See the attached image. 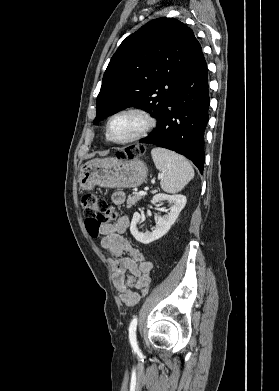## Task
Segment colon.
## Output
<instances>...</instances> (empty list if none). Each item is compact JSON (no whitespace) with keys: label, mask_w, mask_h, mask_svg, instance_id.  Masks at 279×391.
I'll return each instance as SVG.
<instances>
[{"label":"colon","mask_w":279,"mask_h":391,"mask_svg":"<svg viewBox=\"0 0 279 391\" xmlns=\"http://www.w3.org/2000/svg\"><path fill=\"white\" fill-rule=\"evenodd\" d=\"M143 151V147H135L130 150L122 151L119 156L121 159L126 160L132 156L142 154ZM81 206L89 234L94 238L98 237L103 220L111 215L107 202L93 194H85L81 199ZM148 292L149 285H146L140 292L141 297L144 298Z\"/></svg>","instance_id":"obj_1"}]
</instances>
